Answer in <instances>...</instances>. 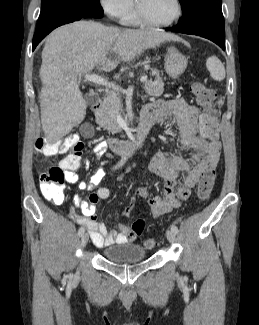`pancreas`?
Here are the masks:
<instances>
[{
    "label": "pancreas",
    "mask_w": 259,
    "mask_h": 325,
    "mask_svg": "<svg viewBox=\"0 0 259 325\" xmlns=\"http://www.w3.org/2000/svg\"><path fill=\"white\" fill-rule=\"evenodd\" d=\"M155 71V80L145 81L144 89L149 96H160L164 91V82L160 77V73L156 69ZM120 112H123L120 97L115 92H109L95 114L96 122L109 133H119L121 127L117 123V116Z\"/></svg>",
    "instance_id": "1"
}]
</instances>
